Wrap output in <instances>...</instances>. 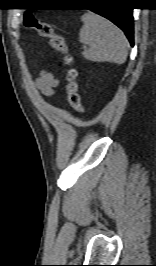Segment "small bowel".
Returning <instances> with one entry per match:
<instances>
[{
  "instance_id": "obj_1",
  "label": "small bowel",
  "mask_w": 156,
  "mask_h": 266,
  "mask_svg": "<svg viewBox=\"0 0 156 266\" xmlns=\"http://www.w3.org/2000/svg\"><path fill=\"white\" fill-rule=\"evenodd\" d=\"M60 84V80L50 71H42L36 79L37 89L46 97L54 94L55 88Z\"/></svg>"
}]
</instances>
